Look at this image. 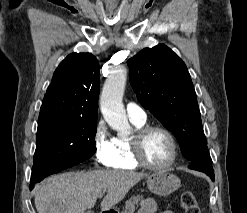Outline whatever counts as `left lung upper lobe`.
Instances as JSON below:
<instances>
[{
	"label": "left lung upper lobe",
	"instance_id": "obj_1",
	"mask_svg": "<svg viewBox=\"0 0 247 213\" xmlns=\"http://www.w3.org/2000/svg\"><path fill=\"white\" fill-rule=\"evenodd\" d=\"M139 102L170 130L191 160L207 141L185 63L166 45L145 48L128 60Z\"/></svg>",
	"mask_w": 247,
	"mask_h": 213
}]
</instances>
